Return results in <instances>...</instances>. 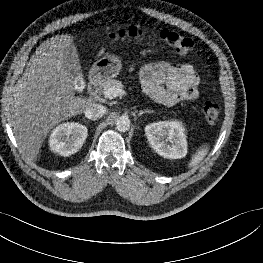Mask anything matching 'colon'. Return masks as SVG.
Wrapping results in <instances>:
<instances>
[{
  "label": "colon",
  "mask_w": 263,
  "mask_h": 263,
  "mask_svg": "<svg viewBox=\"0 0 263 263\" xmlns=\"http://www.w3.org/2000/svg\"><path fill=\"white\" fill-rule=\"evenodd\" d=\"M145 35V31L136 25H132L126 28H120L110 32L105 39L110 41H118L125 38H139ZM155 37L170 45L181 55H187L193 49V41L172 30L161 29L155 32ZM220 105L214 101H207L202 108V113L205 120L209 124H215L220 115Z\"/></svg>",
  "instance_id": "obj_1"
}]
</instances>
